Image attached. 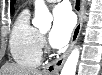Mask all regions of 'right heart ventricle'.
<instances>
[{
    "mask_svg": "<svg viewBox=\"0 0 102 75\" xmlns=\"http://www.w3.org/2000/svg\"><path fill=\"white\" fill-rule=\"evenodd\" d=\"M10 52L15 62L37 67L41 61L42 38L40 31L30 23L28 10L17 17L10 38Z\"/></svg>",
    "mask_w": 102,
    "mask_h": 75,
    "instance_id": "right-heart-ventricle-1",
    "label": "right heart ventricle"
}]
</instances>
